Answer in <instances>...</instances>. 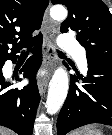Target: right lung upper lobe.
<instances>
[{
    "instance_id": "cb5924a9",
    "label": "right lung upper lobe",
    "mask_w": 112,
    "mask_h": 135,
    "mask_svg": "<svg viewBox=\"0 0 112 135\" xmlns=\"http://www.w3.org/2000/svg\"><path fill=\"white\" fill-rule=\"evenodd\" d=\"M49 0H0V63L43 36L39 30ZM11 49V53L8 50Z\"/></svg>"
}]
</instances>
